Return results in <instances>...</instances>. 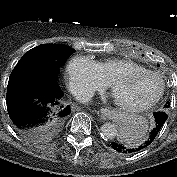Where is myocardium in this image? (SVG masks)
Instances as JSON below:
<instances>
[{"label":"myocardium","mask_w":177,"mask_h":177,"mask_svg":"<svg viewBox=\"0 0 177 177\" xmlns=\"http://www.w3.org/2000/svg\"><path fill=\"white\" fill-rule=\"evenodd\" d=\"M143 75L156 77L160 82V89H159L158 93L151 100H149L145 103L139 104V105H125V104L117 101L114 98V95H113L114 90L121 82H123L129 78H135V77H139V76H143ZM109 87L111 90V94H112L114 103L120 109H122L124 111H128V112H143V111L150 109L151 107H153L154 105H156L160 101V99L162 98L164 91H165V82H164V79L161 74H159L158 72L146 69V70H139V71H129L126 73L119 74L115 78L112 79V81L109 83Z\"/></svg>","instance_id":"obj_1"}]
</instances>
